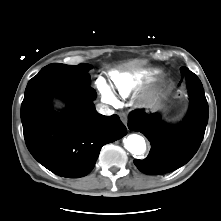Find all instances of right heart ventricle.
I'll list each match as a JSON object with an SVG mask.
<instances>
[{
	"instance_id": "right-heart-ventricle-1",
	"label": "right heart ventricle",
	"mask_w": 221,
	"mask_h": 221,
	"mask_svg": "<svg viewBox=\"0 0 221 221\" xmlns=\"http://www.w3.org/2000/svg\"><path fill=\"white\" fill-rule=\"evenodd\" d=\"M141 78L142 75L140 73L119 71L110 73L112 88L123 98L131 96L136 91Z\"/></svg>"
}]
</instances>
